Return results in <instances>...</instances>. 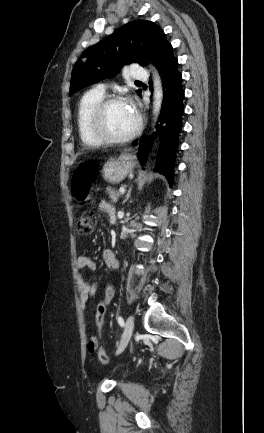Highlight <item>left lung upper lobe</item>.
<instances>
[{
    "instance_id": "5c2ea615",
    "label": "left lung upper lobe",
    "mask_w": 264,
    "mask_h": 433,
    "mask_svg": "<svg viewBox=\"0 0 264 433\" xmlns=\"http://www.w3.org/2000/svg\"><path fill=\"white\" fill-rule=\"evenodd\" d=\"M162 29L151 21L137 20L117 29L112 35L85 50L75 63L70 95L105 78H111L124 64L146 63L145 55L157 66L172 52ZM140 95L141 90H137Z\"/></svg>"
}]
</instances>
